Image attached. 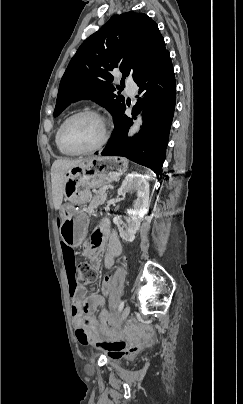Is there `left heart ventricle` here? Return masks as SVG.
Here are the masks:
<instances>
[{
  "label": "left heart ventricle",
  "instance_id": "b2bd125f",
  "mask_svg": "<svg viewBox=\"0 0 243 404\" xmlns=\"http://www.w3.org/2000/svg\"><path fill=\"white\" fill-rule=\"evenodd\" d=\"M103 131L104 124L99 118L92 115H82L67 124L63 136L72 145L88 148L101 140Z\"/></svg>",
  "mask_w": 243,
  "mask_h": 404
}]
</instances>
